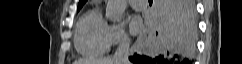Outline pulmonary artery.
I'll list each match as a JSON object with an SVG mask.
<instances>
[{"mask_svg": "<svg viewBox=\"0 0 242 64\" xmlns=\"http://www.w3.org/2000/svg\"><path fill=\"white\" fill-rule=\"evenodd\" d=\"M129 4L135 10H144L147 7V2L145 0H129Z\"/></svg>", "mask_w": 242, "mask_h": 64, "instance_id": "e3ab8cb5", "label": "pulmonary artery"}]
</instances>
